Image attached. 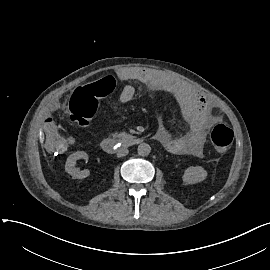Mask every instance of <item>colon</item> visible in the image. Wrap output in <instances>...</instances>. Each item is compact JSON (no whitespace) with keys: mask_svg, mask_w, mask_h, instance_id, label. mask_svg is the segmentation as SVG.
Listing matches in <instances>:
<instances>
[{"mask_svg":"<svg viewBox=\"0 0 270 270\" xmlns=\"http://www.w3.org/2000/svg\"><path fill=\"white\" fill-rule=\"evenodd\" d=\"M113 79L104 77L102 83H93L78 87L69 101L70 120L80 127L89 125L97 112L101 98L112 93ZM214 146V154L223 156L233 142L234 134L231 128L220 123L213 127L210 133Z\"/></svg>","mask_w":270,"mask_h":270,"instance_id":"5ec220e1","label":"colon"}]
</instances>
